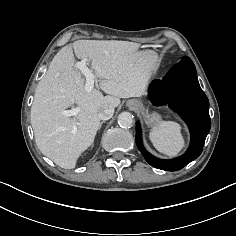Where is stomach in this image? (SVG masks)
Returning a JSON list of instances; mask_svg holds the SVG:
<instances>
[{
  "instance_id": "1",
  "label": "stomach",
  "mask_w": 236,
  "mask_h": 236,
  "mask_svg": "<svg viewBox=\"0 0 236 236\" xmlns=\"http://www.w3.org/2000/svg\"><path fill=\"white\" fill-rule=\"evenodd\" d=\"M144 118L145 122L148 125H156L161 120V117L157 112H152V113L145 112Z\"/></svg>"
}]
</instances>
